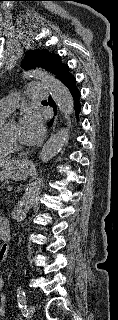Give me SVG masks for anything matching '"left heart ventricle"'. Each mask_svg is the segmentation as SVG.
Here are the masks:
<instances>
[{
  "instance_id": "left-heart-ventricle-1",
  "label": "left heart ventricle",
  "mask_w": 118,
  "mask_h": 320,
  "mask_svg": "<svg viewBox=\"0 0 118 320\" xmlns=\"http://www.w3.org/2000/svg\"><path fill=\"white\" fill-rule=\"evenodd\" d=\"M5 134L6 136L15 142L18 145H24L23 141L21 140L18 125L15 123H8L5 127Z\"/></svg>"
}]
</instances>
